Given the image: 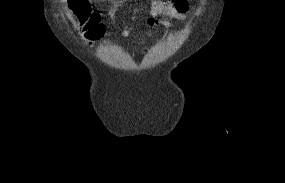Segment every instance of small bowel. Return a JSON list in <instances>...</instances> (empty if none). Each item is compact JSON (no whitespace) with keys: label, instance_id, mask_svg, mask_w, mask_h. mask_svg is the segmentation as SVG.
<instances>
[{"label":"small bowel","instance_id":"c3829d8e","mask_svg":"<svg viewBox=\"0 0 285 183\" xmlns=\"http://www.w3.org/2000/svg\"><path fill=\"white\" fill-rule=\"evenodd\" d=\"M124 1L126 0H117L112 4L108 12L109 18L112 22L115 21L116 14ZM183 6L185 7V10H179L174 2L173 4H165L159 0H152L148 22L150 25L160 24L166 28H172L173 24L170 20H187V0L183 3ZM132 31V28H125L122 30L121 35L122 37L127 38L132 34Z\"/></svg>","mask_w":285,"mask_h":183}]
</instances>
